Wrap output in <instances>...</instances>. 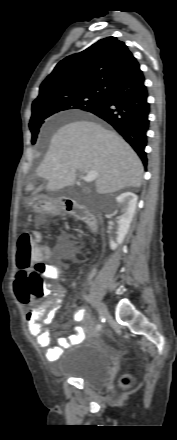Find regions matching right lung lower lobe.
<instances>
[{"label": "right lung lower lobe", "mask_w": 177, "mask_h": 440, "mask_svg": "<svg viewBox=\"0 0 177 440\" xmlns=\"http://www.w3.org/2000/svg\"><path fill=\"white\" fill-rule=\"evenodd\" d=\"M144 80V75L139 70L105 93L102 100L87 111L111 124L133 147L146 166L144 149L147 145L150 108Z\"/></svg>", "instance_id": "obj_1"}]
</instances>
